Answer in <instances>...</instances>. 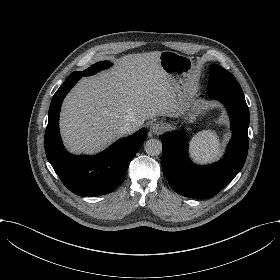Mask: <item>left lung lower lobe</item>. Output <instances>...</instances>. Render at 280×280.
Returning a JSON list of instances; mask_svg holds the SVG:
<instances>
[{"label": "left lung lower lobe", "instance_id": "0a47b994", "mask_svg": "<svg viewBox=\"0 0 280 280\" xmlns=\"http://www.w3.org/2000/svg\"><path fill=\"white\" fill-rule=\"evenodd\" d=\"M211 98L226 106L231 120L232 138L224 157L214 165L197 166L187 155L183 132L160 136L162 169L171 188L186 197L208 198L221 191L243 167L248 152L249 109L238 82L209 89Z\"/></svg>", "mask_w": 280, "mask_h": 280}]
</instances>
